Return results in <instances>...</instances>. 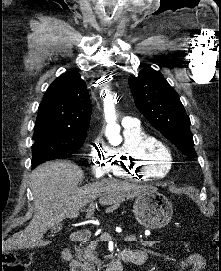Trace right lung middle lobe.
<instances>
[{
	"instance_id": "1",
	"label": "right lung middle lobe",
	"mask_w": 221,
	"mask_h": 271,
	"mask_svg": "<svg viewBox=\"0 0 221 271\" xmlns=\"http://www.w3.org/2000/svg\"><path fill=\"white\" fill-rule=\"evenodd\" d=\"M87 133L56 134L49 132L34 133L32 145V169L54 159H66L84 143Z\"/></svg>"
}]
</instances>
